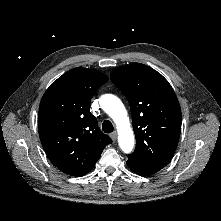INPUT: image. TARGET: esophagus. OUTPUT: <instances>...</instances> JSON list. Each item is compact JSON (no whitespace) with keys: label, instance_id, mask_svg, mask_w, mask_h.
I'll use <instances>...</instances> for the list:
<instances>
[{"label":"esophagus","instance_id":"1","mask_svg":"<svg viewBox=\"0 0 221 221\" xmlns=\"http://www.w3.org/2000/svg\"><path fill=\"white\" fill-rule=\"evenodd\" d=\"M110 137L115 142L117 140V132L111 133Z\"/></svg>","mask_w":221,"mask_h":221}]
</instances>
